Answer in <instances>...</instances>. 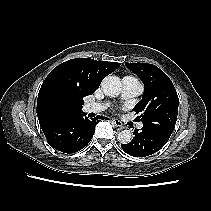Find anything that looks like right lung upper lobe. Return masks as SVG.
<instances>
[{
    "instance_id": "obj_1",
    "label": "right lung upper lobe",
    "mask_w": 211,
    "mask_h": 211,
    "mask_svg": "<svg viewBox=\"0 0 211 211\" xmlns=\"http://www.w3.org/2000/svg\"><path fill=\"white\" fill-rule=\"evenodd\" d=\"M119 66L116 62L76 58L55 67L39 90L37 116L40 125L61 112H80L83 98L93 94L101 81Z\"/></svg>"
}]
</instances>
